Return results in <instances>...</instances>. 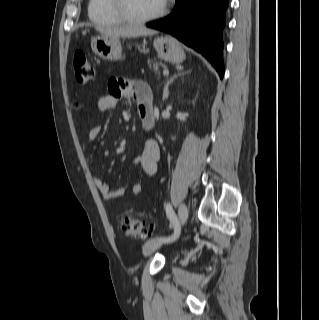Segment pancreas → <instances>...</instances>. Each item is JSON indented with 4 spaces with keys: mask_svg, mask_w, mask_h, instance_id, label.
<instances>
[{
    "mask_svg": "<svg viewBox=\"0 0 319 320\" xmlns=\"http://www.w3.org/2000/svg\"><path fill=\"white\" fill-rule=\"evenodd\" d=\"M147 62L149 66L153 68V71L158 75L160 74V71H159L160 67H163V68L165 67V65L162 62H157L156 59L154 60L148 59Z\"/></svg>",
    "mask_w": 319,
    "mask_h": 320,
    "instance_id": "pancreas-1",
    "label": "pancreas"
}]
</instances>
